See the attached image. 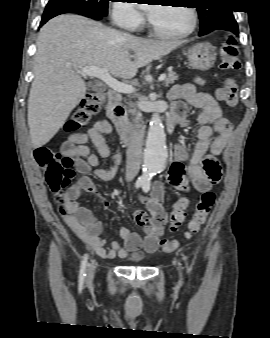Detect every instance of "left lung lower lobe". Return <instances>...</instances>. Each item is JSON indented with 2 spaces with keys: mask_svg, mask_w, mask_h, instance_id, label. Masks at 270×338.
<instances>
[{
  "mask_svg": "<svg viewBox=\"0 0 270 338\" xmlns=\"http://www.w3.org/2000/svg\"><path fill=\"white\" fill-rule=\"evenodd\" d=\"M217 29H223V30L231 31L234 34H236L237 36L239 34L238 26H237L235 19L229 20V21L219 25Z\"/></svg>",
  "mask_w": 270,
  "mask_h": 338,
  "instance_id": "obj_1",
  "label": "left lung lower lobe"
}]
</instances>
